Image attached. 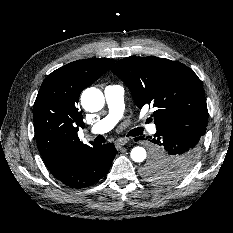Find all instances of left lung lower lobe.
Returning <instances> with one entry per match:
<instances>
[{
	"mask_svg": "<svg viewBox=\"0 0 233 233\" xmlns=\"http://www.w3.org/2000/svg\"><path fill=\"white\" fill-rule=\"evenodd\" d=\"M204 134L205 130L189 126L157 129L154 137H150L154 143L151 161L162 162V166L170 167L167 171L171 174H177L173 169L194 166L201 152Z\"/></svg>",
	"mask_w": 233,
	"mask_h": 233,
	"instance_id": "0a47b994",
	"label": "left lung lower lobe"
}]
</instances>
